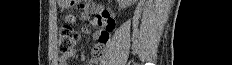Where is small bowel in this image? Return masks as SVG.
Returning <instances> with one entry per match:
<instances>
[{"label": "small bowel", "mask_w": 232, "mask_h": 65, "mask_svg": "<svg viewBox=\"0 0 232 65\" xmlns=\"http://www.w3.org/2000/svg\"><path fill=\"white\" fill-rule=\"evenodd\" d=\"M93 24L99 27V31L95 34V38L98 40V44L93 49V59L90 61L89 65H95L97 64V57H96V51L99 46H102V44L106 43L109 39V34L114 28V21L110 17L109 13L102 9L98 8L95 11V19L93 21ZM76 56V51L71 50L69 52L63 53L59 57V65H67L68 60L74 58Z\"/></svg>", "instance_id": "small-bowel-1"}]
</instances>
